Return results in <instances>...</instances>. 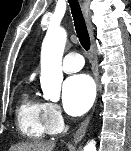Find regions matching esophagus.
Wrapping results in <instances>:
<instances>
[{"mask_svg": "<svg viewBox=\"0 0 131 151\" xmlns=\"http://www.w3.org/2000/svg\"><path fill=\"white\" fill-rule=\"evenodd\" d=\"M83 10H84L85 19H86L88 31H89L91 42H92L91 50H92V54H93V66H92L93 75H94V79L96 82L97 90H99V71H98V65H97V58L95 55L93 26H92V23L90 21V17L88 14V0L83 1ZM89 121H90V117H88L86 120H84L82 122V124L80 125V127L78 128V130L76 131V134L74 135V138H73L74 144H77L78 142H80L82 140V138L84 137L88 124H89Z\"/></svg>", "mask_w": 131, "mask_h": 151, "instance_id": "1", "label": "esophagus"}]
</instances>
